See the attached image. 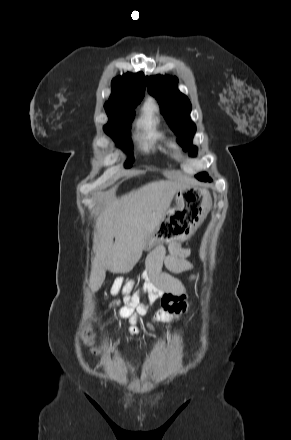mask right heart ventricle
<instances>
[{
    "instance_id": "1",
    "label": "right heart ventricle",
    "mask_w": 291,
    "mask_h": 440,
    "mask_svg": "<svg viewBox=\"0 0 291 440\" xmlns=\"http://www.w3.org/2000/svg\"><path fill=\"white\" fill-rule=\"evenodd\" d=\"M136 131L140 139V147L144 152L166 153L168 142L164 131L161 129L157 107L153 101L145 103L136 122Z\"/></svg>"
}]
</instances>
